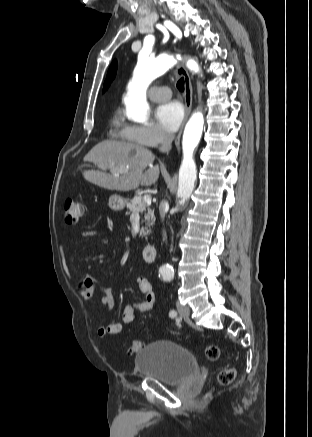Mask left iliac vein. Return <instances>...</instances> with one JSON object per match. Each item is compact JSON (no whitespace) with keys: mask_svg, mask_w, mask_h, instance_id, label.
Here are the masks:
<instances>
[{"mask_svg":"<svg viewBox=\"0 0 312 437\" xmlns=\"http://www.w3.org/2000/svg\"><path fill=\"white\" fill-rule=\"evenodd\" d=\"M177 309L179 312V315L184 318V319H189L190 318V308L187 306H184L180 303H177Z\"/></svg>","mask_w":312,"mask_h":437,"instance_id":"left-iliac-vein-1","label":"left iliac vein"}]
</instances>
